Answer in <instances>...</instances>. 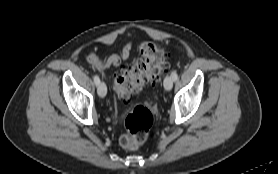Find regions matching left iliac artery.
<instances>
[{
  "label": "left iliac artery",
  "mask_w": 278,
  "mask_h": 174,
  "mask_svg": "<svg viewBox=\"0 0 278 174\" xmlns=\"http://www.w3.org/2000/svg\"><path fill=\"white\" fill-rule=\"evenodd\" d=\"M171 77H172L173 81L178 80V74H177V72H173V73L171 74Z\"/></svg>",
  "instance_id": "left-iliac-artery-1"
}]
</instances>
